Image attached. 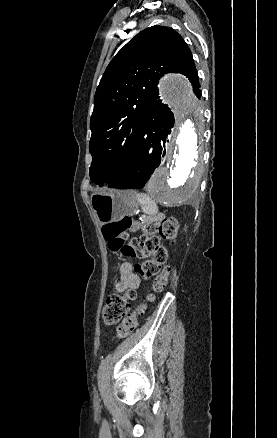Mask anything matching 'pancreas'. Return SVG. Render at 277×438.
Returning a JSON list of instances; mask_svg holds the SVG:
<instances>
[{"label": "pancreas", "instance_id": "cf45deb5", "mask_svg": "<svg viewBox=\"0 0 277 438\" xmlns=\"http://www.w3.org/2000/svg\"><path fill=\"white\" fill-rule=\"evenodd\" d=\"M145 221L147 223H157L159 221V216L157 214H147L145 216Z\"/></svg>", "mask_w": 277, "mask_h": 438}]
</instances>
